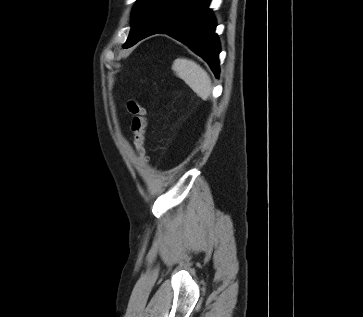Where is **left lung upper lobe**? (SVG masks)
<instances>
[{"instance_id":"obj_1","label":"left lung upper lobe","mask_w":363,"mask_h":317,"mask_svg":"<svg viewBox=\"0 0 363 317\" xmlns=\"http://www.w3.org/2000/svg\"><path fill=\"white\" fill-rule=\"evenodd\" d=\"M158 0H138L132 11L131 31L123 46H133L144 33Z\"/></svg>"}]
</instances>
